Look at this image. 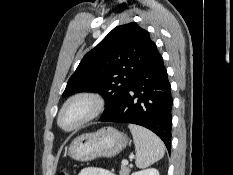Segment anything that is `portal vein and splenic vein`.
I'll return each mask as SVG.
<instances>
[{
  "label": "portal vein and splenic vein",
  "instance_id": "18ae733b",
  "mask_svg": "<svg viewBox=\"0 0 233 175\" xmlns=\"http://www.w3.org/2000/svg\"><path fill=\"white\" fill-rule=\"evenodd\" d=\"M128 163H129L128 160H122V165H123V166H127Z\"/></svg>",
  "mask_w": 233,
  "mask_h": 175
}]
</instances>
